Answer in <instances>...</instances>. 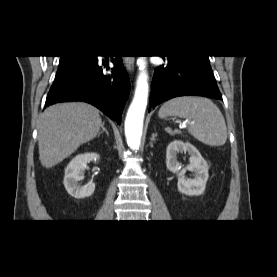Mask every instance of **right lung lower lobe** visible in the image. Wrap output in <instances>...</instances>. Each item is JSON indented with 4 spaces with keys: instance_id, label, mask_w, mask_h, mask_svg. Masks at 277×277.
Wrapping results in <instances>:
<instances>
[{
    "instance_id": "right-lung-lower-lobe-1",
    "label": "right lung lower lobe",
    "mask_w": 277,
    "mask_h": 277,
    "mask_svg": "<svg viewBox=\"0 0 277 277\" xmlns=\"http://www.w3.org/2000/svg\"><path fill=\"white\" fill-rule=\"evenodd\" d=\"M94 58L84 66L55 80L46 98L45 106L63 101L88 102L120 124L121 114L130 91L129 78L123 67L121 56L113 60L115 67L111 76L109 56Z\"/></svg>"
}]
</instances>
